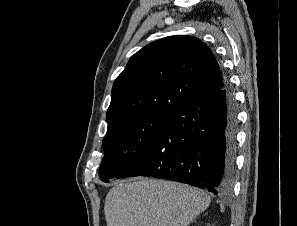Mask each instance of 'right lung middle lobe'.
Instances as JSON below:
<instances>
[{"label":"right lung middle lobe","mask_w":297,"mask_h":226,"mask_svg":"<svg viewBox=\"0 0 297 226\" xmlns=\"http://www.w3.org/2000/svg\"><path fill=\"white\" fill-rule=\"evenodd\" d=\"M172 113H142L108 125L103 140L105 156L99 169L100 179L109 182L130 166L168 124Z\"/></svg>","instance_id":"1"}]
</instances>
